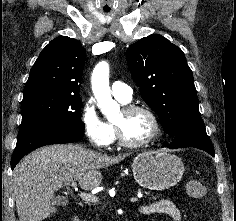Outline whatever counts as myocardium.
Masks as SVG:
<instances>
[{
    "instance_id": "f54148a6",
    "label": "myocardium",
    "mask_w": 236,
    "mask_h": 221,
    "mask_svg": "<svg viewBox=\"0 0 236 221\" xmlns=\"http://www.w3.org/2000/svg\"><path fill=\"white\" fill-rule=\"evenodd\" d=\"M122 112L125 116L136 113V112L146 113L153 122V133L148 139L144 141L131 142L125 138L121 124L117 121H114L113 125L115 128L116 138L118 140V143L121 146L126 147V148L138 149V148L146 147L158 139V137L161 134L162 127H161V123L157 114L150 107L144 106V105H126L123 107Z\"/></svg>"
}]
</instances>
